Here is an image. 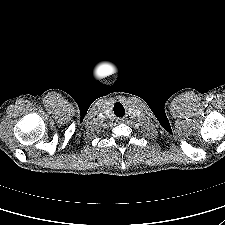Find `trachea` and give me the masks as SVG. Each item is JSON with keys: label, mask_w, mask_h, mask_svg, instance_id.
<instances>
[{"label": "trachea", "mask_w": 225, "mask_h": 225, "mask_svg": "<svg viewBox=\"0 0 225 225\" xmlns=\"http://www.w3.org/2000/svg\"><path fill=\"white\" fill-rule=\"evenodd\" d=\"M114 114H115L117 117H122V116H124L125 110H124L123 105H122L120 102H116V103H115V105H114Z\"/></svg>", "instance_id": "3493384b"}]
</instances>
